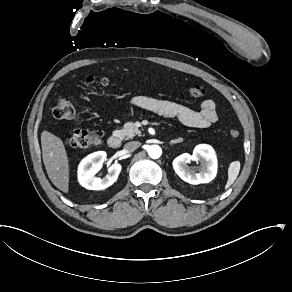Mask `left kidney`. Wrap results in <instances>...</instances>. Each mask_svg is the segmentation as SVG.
I'll use <instances>...</instances> for the list:
<instances>
[{
  "label": "left kidney",
  "instance_id": "left-kidney-1",
  "mask_svg": "<svg viewBox=\"0 0 292 292\" xmlns=\"http://www.w3.org/2000/svg\"><path fill=\"white\" fill-rule=\"evenodd\" d=\"M201 162L202 173H195L188 166L191 162ZM173 168L185 182L198 185L211 182L217 173V161L213 149L209 145L197 146L193 154L184 153L173 160Z\"/></svg>",
  "mask_w": 292,
  "mask_h": 292
}]
</instances>
